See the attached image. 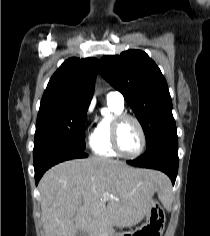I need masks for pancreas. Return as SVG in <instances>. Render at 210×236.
I'll return each mask as SVG.
<instances>
[{"label":"pancreas","mask_w":210,"mask_h":236,"mask_svg":"<svg viewBox=\"0 0 210 236\" xmlns=\"http://www.w3.org/2000/svg\"><path fill=\"white\" fill-rule=\"evenodd\" d=\"M106 236H112V234H110V235H106Z\"/></svg>","instance_id":"1"}]
</instances>
